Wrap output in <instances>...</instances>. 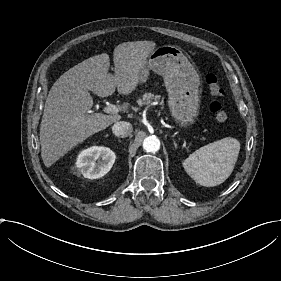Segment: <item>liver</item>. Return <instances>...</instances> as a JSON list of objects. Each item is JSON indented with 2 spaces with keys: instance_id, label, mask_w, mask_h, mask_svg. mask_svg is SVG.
Returning a JSON list of instances; mask_svg holds the SVG:
<instances>
[{
  "instance_id": "6515ba94",
  "label": "liver",
  "mask_w": 281,
  "mask_h": 281,
  "mask_svg": "<svg viewBox=\"0 0 281 281\" xmlns=\"http://www.w3.org/2000/svg\"><path fill=\"white\" fill-rule=\"evenodd\" d=\"M152 41L121 43L114 49V71L108 72L109 57H90L62 74L51 87L40 124L41 157L50 166L67 150L120 120V115L90 113L93 99L88 89L101 97L116 88L129 93L137 85L136 73L153 49Z\"/></svg>"
}]
</instances>
